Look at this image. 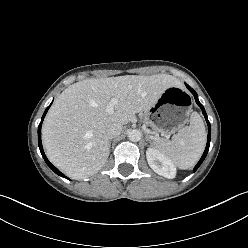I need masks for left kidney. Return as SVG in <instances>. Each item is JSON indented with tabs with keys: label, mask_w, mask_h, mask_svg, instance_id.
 <instances>
[{
	"label": "left kidney",
	"mask_w": 248,
	"mask_h": 248,
	"mask_svg": "<svg viewBox=\"0 0 248 248\" xmlns=\"http://www.w3.org/2000/svg\"><path fill=\"white\" fill-rule=\"evenodd\" d=\"M146 158L151 169L158 175L173 179L176 175V168L171 160L161 151L155 148H148Z\"/></svg>",
	"instance_id": "1"
}]
</instances>
